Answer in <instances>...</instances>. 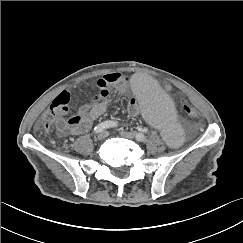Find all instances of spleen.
Segmentation results:
<instances>
[{
  "label": "spleen",
  "mask_w": 243,
  "mask_h": 243,
  "mask_svg": "<svg viewBox=\"0 0 243 243\" xmlns=\"http://www.w3.org/2000/svg\"><path fill=\"white\" fill-rule=\"evenodd\" d=\"M130 92L162 143L175 145L183 139L185 124L177 114L172 99L153 75H136L130 83Z\"/></svg>",
  "instance_id": "obj_1"
}]
</instances>
